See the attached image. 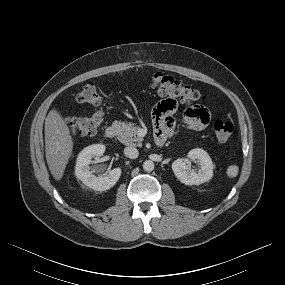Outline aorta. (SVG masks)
Listing matches in <instances>:
<instances>
[{"label":"aorta","mask_w":285,"mask_h":285,"mask_svg":"<svg viewBox=\"0 0 285 285\" xmlns=\"http://www.w3.org/2000/svg\"><path fill=\"white\" fill-rule=\"evenodd\" d=\"M143 169L144 171L146 172H151L154 170V163L153 161L151 160H146L144 163H143Z\"/></svg>","instance_id":"762f6f07"}]
</instances>
